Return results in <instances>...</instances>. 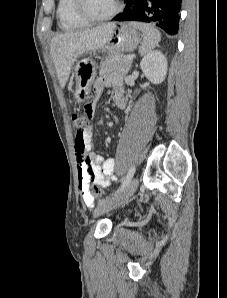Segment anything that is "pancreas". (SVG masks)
Listing matches in <instances>:
<instances>
[{"instance_id":"1","label":"pancreas","mask_w":227,"mask_h":298,"mask_svg":"<svg viewBox=\"0 0 227 298\" xmlns=\"http://www.w3.org/2000/svg\"><path fill=\"white\" fill-rule=\"evenodd\" d=\"M131 64L132 61H129L126 55H109L101 63L100 74L113 71L121 75H126L129 72Z\"/></svg>"}]
</instances>
